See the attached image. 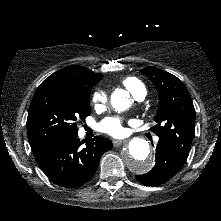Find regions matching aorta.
<instances>
[{"label":"aorta","instance_id":"obj_1","mask_svg":"<svg viewBox=\"0 0 221 221\" xmlns=\"http://www.w3.org/2000/svg\"><path fill=\"white\" fill-rule=\"evenodd\" d=\"M111 104L117 111L126 110L131 104L129 93L116 89L111 95ZM122 158L125 166L136 174L146 173L152 168L150 147L142 138H133L125 148Z\"/></svg>","mask_w":221,"mask_h":221}]
</instances>
